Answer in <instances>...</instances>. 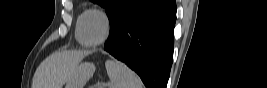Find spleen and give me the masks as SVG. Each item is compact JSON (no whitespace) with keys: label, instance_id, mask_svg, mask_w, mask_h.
Segmentation results:
<instances>
[{"label":"spleen","instance_id":"3e777b00","mask_svg":"<svg viewBox=\"0 0 267 88\" xmlns=\"http://www.w3.org/2000/svg\"><path fill=\"white\" fill-rule=\"evenodd\" d=\"M105 67L111 81L110 88H144L140 77L124 63L107 60Z\"/></svg>","mask_w":267,"mask_h":88}]
</instances>
